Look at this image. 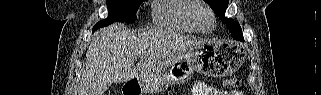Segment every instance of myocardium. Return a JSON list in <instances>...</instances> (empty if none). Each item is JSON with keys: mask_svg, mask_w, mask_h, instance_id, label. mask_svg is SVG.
I'll return each mask as SVG.
<instances>
[{"mask_svg": "<svg viewBox=\"0 0 321 95\" xmlns=\"http://www.w3.org/2000/svg\"><path fill=\"white\" fill-rule=\"evenodd\" d=\"M199 11H206L207 12V14H208V16L210 18V21H211V26L209 28H205L200 24L199 19H198ZM191 18H192L196 28L200 32L210 33L215 28V15H214V12L211 9V7L207 3H205L204 1H199V0L196 1V4H195V6H194V8L192 9V12H191Z\"/></svg>", "mask_w": 321, "mask_h": 95, "instance_id": "myocardium-1", "label": "myocardium"}]
</instances>
